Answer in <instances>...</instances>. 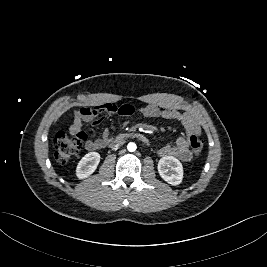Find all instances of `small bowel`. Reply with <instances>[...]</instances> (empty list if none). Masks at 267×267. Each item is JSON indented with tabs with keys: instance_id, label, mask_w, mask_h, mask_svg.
I'll return each mask as SVG.
<instances>
[{
	"instance_id": "obj_1",
	"label": "small bowel",
	"mask_w": 267,
	"mask_h": 267,
	"mask_svg": "<svg viewBox=\"0 0 267 267\" xmlns=\"http://www.w3.org/2000/svg\"><path fill=\"white\" fill-rule=\"evenodd\" d=\"M135 109L132 105L124 104L116 106L114 104H103L97 106H86L75 111L74 120L70 126L72 134L83 132V122H93V125L98 127L102 124V118L96 119L98 115H105L108 113H118L122 116H130ZM142 116L147 118H163L167 120L177 121L184 129L185 136H180L176 139L174 144H167L159 149L160 156H173L181 161H188L192 157L190 149L189 137L192 135L199 136L201 134L200 126L196 118L188 112H180L173 108L161 109L154 104H148L139 109ZM110 140V133L108 129L101 132V136L97 139L85 140V147L89 151H95L105 147Z\"/></svg>"
}]
</instances>
